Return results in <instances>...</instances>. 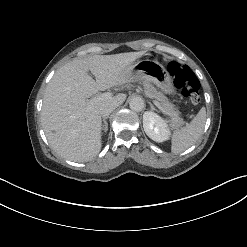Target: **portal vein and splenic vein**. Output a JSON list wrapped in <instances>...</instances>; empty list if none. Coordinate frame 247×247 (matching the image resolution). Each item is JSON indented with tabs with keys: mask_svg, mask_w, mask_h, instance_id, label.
I'll use <instances>...</instances> for the list:
<instances>
[{
	"mask_svg": "<svg viewBox=\"0 0 247 247\" xmlns=\"http://www.w3.org/2000/svg\"><path fill=\"white\" fill-rule=\"evenodd\" d=\"M112 96V93L110 92H105L103 94H100L92 99L89 100V103L92 104L94 103L95 101H99V100H104V99H108V98H111ZM153 103L160 109L162 110L160 104L156 101V100H153Z\"/></svg>",
	"mask_w": 247,
	"mask_h": 247,
	"instance_id": "18ae733b",
	"label": "portal vein and splenic vein"
}]
</instances>
